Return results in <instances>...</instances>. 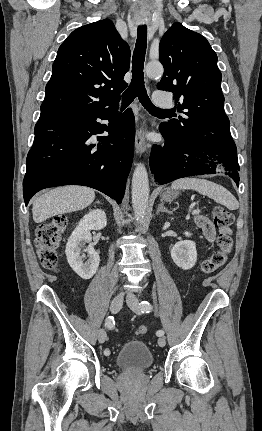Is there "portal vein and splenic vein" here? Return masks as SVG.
<instances>
[{
    "label": "portal vein and splenic vein",
    "mask_w": 262,
    "mask_h": 431,
    "mask_svg": "<svg viewBox=\"0 0 262 431\" xmlns=\"http://www.w3.org/2000/svg\"><path fill=\"white\" fill-rule=\"evenodd\" d=\"M199 212H200V210L195 209V210L192 211V214H198Z\"/></svg>",
    "instance_id": "portal-vein-and-splenic-vein-1"
}]
</instances>
